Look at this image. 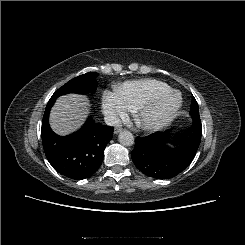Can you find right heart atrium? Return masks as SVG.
Wrapping results in <instances>:
<instances>
[{
  "label": "right heart atrium",
  "mask_w": 245,
  "mask_h": 245,
  "mask_svg": "<svg viewBox=\"0 0 245 245\" xmlns=\"http://www.w3.org/2000/svg\"><path fill=\"white\" fill-rule=\"evenodd\" d=\"M102 111L112 123L128 116L131 110L116 91H104L101 100Z\"/></svg>",
  "instance_id": "right-heart-atrium-1"
}]
</instances>
